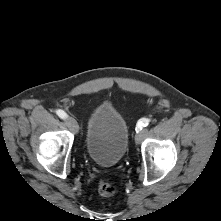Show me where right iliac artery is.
Returning a JSON list of instances; mask_svg holds the SVG:
<instances>
[{"instance_id":"obj_1","label":"right iliac artery","mask_w":221,"mask_h":221,"mask_svg":"<svg viewBox=\"0 0 221 221\" xmlns=\"http://www.w3.org/2000/svg\"><path fill=\"white\" fill-rule=\"evenodd\" d=\"M56 114L62 118V119H65L67 117V114L63 111V110H56Z\"/></svg>"}]
</instances>
